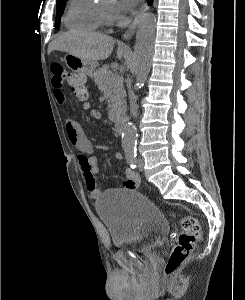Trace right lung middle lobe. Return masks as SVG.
Here are the masks:
<instances>
[{
	"label": "right lung middle lobe",
	"mask_w": 245,
	"mask_h": 300,
	"mask_svg": "<svg viewBox=\"0 0 245 300\" xmlns=\"http://www.w3.org/2000/svg\"><path fill=\"white\" fill-rule=\"evenodd\" d=\"M65 8V0H61L57 2V23L60 21L61 15Z\"/></svg>",
	"instance_id": "dd1d6c3e"
}]
</instances>
